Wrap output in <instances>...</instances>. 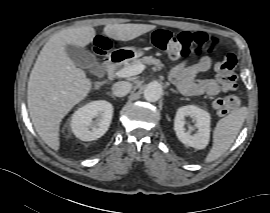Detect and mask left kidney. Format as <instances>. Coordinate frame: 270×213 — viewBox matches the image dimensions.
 <instances>
[{
  "mask_svg": "<svg viewBox=\"0 0 270 213\" xmlns=\"http://www.w3.org/2000/svg\"><path fill=\"white\" fill-rule=\"evenodd\" d=\"M189 116L195 121L197 131L194 135H190L185 131V117ZM210 114L194 105L180 107L174 119V130L178 139L185 145L196 149H204L210 139Z\"/></svg>",
  "mask_w": 270,
  "mask_h": 213,
  "instance_id": "left-kidney-1",
  "label": "left kidney"
}]
</instances>
